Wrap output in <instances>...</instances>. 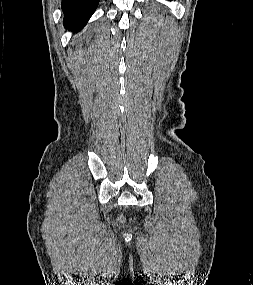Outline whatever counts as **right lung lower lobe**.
<instances>
[{"label":"right lung lower lobe","instance_id":"1","mask_svg":"<svg viewBox=\"0 0 253 285\" xmlns=\"http://www.w3.org/2000/svg\"><path fill=\"white\" fill-rule=\"evenodd\" d=\"M98 3L99 0H62L65 28L80 30L94 13Z\"/></svg>","mask_w":253,"mask_h":285}]
</instances>
